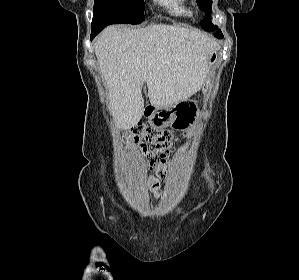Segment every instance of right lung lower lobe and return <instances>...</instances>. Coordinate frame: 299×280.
<instances>
[{
  "label": "right lung lower lobe",
  "instance_id": "1",
  "mask_svg": "<svg viewBox=\"0 0 299 280\" xmlns=\"http://www.w3.org/2000/svg\"><path fill=\"white\" fill-rule=\"evenodd\" d=\"M121 22V19L112 13L94 10L90 40L92 41L106 26L122 24Z\"/></svg>",
  "mask_w": 299,
  "mask_h": 280
}]
</instances>
